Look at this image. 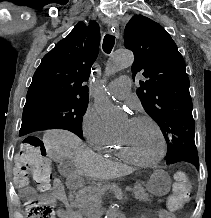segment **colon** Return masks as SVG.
Instances as JSON below:
<instances>
[{
  "label": "colon",
  "mask_w": 211,
  "mask_h": 218,
  "mask_svg": "<svg viewBox=\"0 0 211 218\" xmlns=\"http://www.w3.org/2000/svg\"><path fill=\"white\" fill-rule=\"evenodd\" d=\"M14 179L19 187L26 186L30 180L37 185L40 192H47L52 184V167L48 158L46 145L37 136H28L22 143L20 151L14 159ZM191 194V182L186 172L175 174L173 195L169 199V207L179 209ZM28 218H56L52 204L41 200L29 201Z\"/></svg>",
  "instance_id": "5ec220e1"
}]
</instances>
